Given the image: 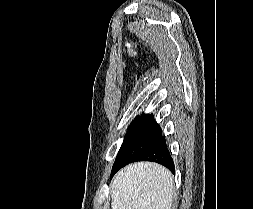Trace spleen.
Wrapping results in <instances>:
<instances>
[{
	"instance_id": "1",
	"label": "spleen",
	"mask_w": 253,
	"mask_h": 209,
	"mask_svg": "<svg viewBox=\"0 0 253 209\" xmlns=\"http://www.w3.org/2000/svg\"><path fill=\"white\" fill-rule=\"evenodd\" d=\"M172 174L163 166L140 162L127 166L111 185L112 209H171Z\"/></svg>"
}]
</instances>
